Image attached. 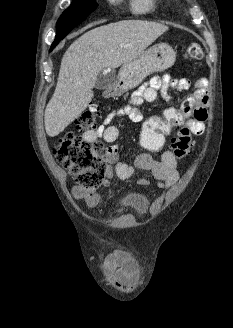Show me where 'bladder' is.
<instances>
[{"label":"bladder","mask_w":233,"mask_h":328,"mask_svg":"<svg viewBox=\"0 0 233 328\" xmlns=\"http://www.w3.org/2000/svg\"><path fill=\"white\" fill-rule=\"evenodd\" d=\"M124 204L138 212H142L148 206V198L144 194L134 193L124 199Z\"/></svg>","instance_id":"31cf9c89"}]
</instances>
